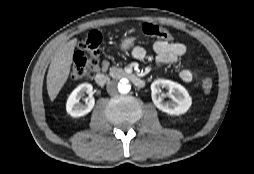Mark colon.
Wrapping results in <instances>:
<instances>
[{"label": "colon", "instance_id": "colon-1", "mask_svg": "<svg viewBox=\"0 0 254 174\" xmlns=\"http://www.w3.org/2000/svg\"><path fill=\"white\" fill-rule=\"evenodd\" d=\"M141 30L146 36L156 37L163 41H171L173 39L168 29L155 24L144 23ZM101 44L102 36L95 30L85 33L78 39L73 56V64L70 70L71 79L81 80L87 77L90 71L97 66ZM212 88V80L210 78H205L202 81L203 91L209 93Z\"/></svg>", "mask_w": 254, "mask_h": 174}]
</instances>
